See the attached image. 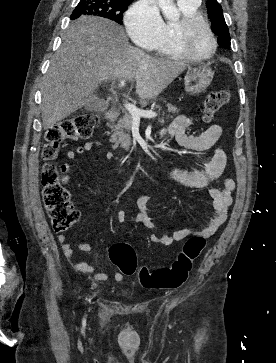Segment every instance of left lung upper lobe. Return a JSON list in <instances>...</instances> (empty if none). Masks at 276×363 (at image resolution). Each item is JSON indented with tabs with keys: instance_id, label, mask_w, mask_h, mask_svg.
Instances as JSON below:
<instances>
[{
	"instance_id": "1",
	"label": "left lung upper lobe",
	"mask_w": 276,
	"mask_h": 363,
	"mask_svg": "<svg viewBox=\"0 0 276 363\" xmlns=\"http://www.w3.org/2000/svg\"><path fill=\"white\" fill-rule=\"evenodd\" d=\"M206 5L212 23L211 29L218 36V44L223 48L229 49L230 35L221 5L216 0H208Z\"/></svg>"
}]
</instances>
